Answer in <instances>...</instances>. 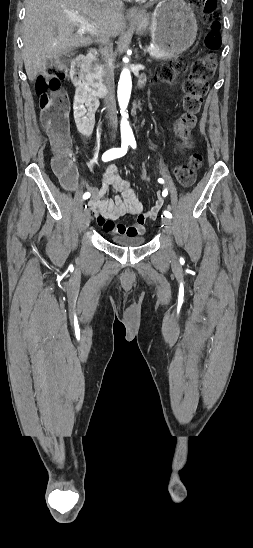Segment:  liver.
Returning a JSON list of instances; mask_svg holds the SVG:
<instances>
[{"instance_id": "1", "label": "liver", "mask_w": 253, "mask_h": 548, "mask_svg": "<svg viewBox=\"0 0 253 548\" xmlns=\"http://www.w3.org/2000/svg\"><path fill=\"white\" fill-rule=\"evenodd\" d=\"M89 18L96 34L85 36L73 16ZM124 25L123 5L116 0H27L23 24V60L30 81L48 60L86 47L105 34L119 35Z\"/></svg>"}]
</instances>
